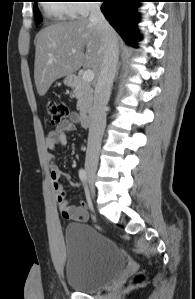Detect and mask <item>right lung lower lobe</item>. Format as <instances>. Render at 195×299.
Masks as SVG:
<instances>
[{
    "label": "right lung lower lobe",
    "instance_id": "1",
    "mask_svg": "<svg viewBox=\"0 0 195 299\" xmlns=\"http://www.w3.org/2000/svg\"><path fill=\"white\" fill-rule=\"evenodd\" d=\"M101 11L106 19L129 45L140 39L136 27L139 21L136 8L141 0H102Z\"/></svg>",
    "mask_w": 195,
    "mask_h": 299
}]
</instances>
